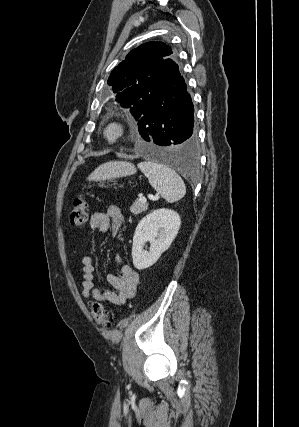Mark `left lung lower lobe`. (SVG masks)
I'll return each mask as SVG.
<instances>
[{"instance_id":"1","label":"left lung lower lobe","mask_w":299,"mask_h":427,"mask_svg":"<svg viewBox=\"0 0 299 427\" xmlns=\"http://www.w3.org/2000/svg\"><path fill=\"white\" fill-rule=\"evenodd\" d=\"M138 120L143 143L141 151L152 159L191 170L198 142L194 128V107L182 76L152 105L141 109Z\"/></svg>"}]
</instances>
